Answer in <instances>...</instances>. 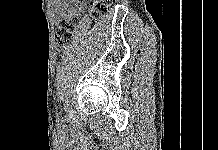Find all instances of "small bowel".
<instances>
[{"mask_svg":"<svg viewBox=\"0 0 218 150\" xmlns=\"http://www.w3.org/2000/svg\"><path fill=\"white\" fill-rule=\"evenodd\" d=\"M84 0H52L55 17L58 21L69 20L80 11Z\"/></svg>","mask_w":218,"mask_h":150,"instance_id":"1","label":"small bowel"}]
</instances>
